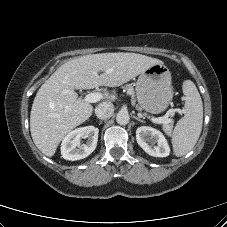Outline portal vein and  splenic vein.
I'll return each instance as SVG.
<instances>
[{
  "label": "portal vein and splenic vein",
  "mask_w": 227,
  "mask_h": 227,
  "mask_svg": "<svg viewBox=\"0 0 227 227\" xmlns=\"http://www.w3.org/2000/svg\"><path fill=\"white\" fill-rule=\"evenodd\" d=\"M69 91H66V93ZM103 98V94L99 93V92H94V93H90L87 94L84 98L85 101L89 102V103H96L98 101H100ZM172 112H183L180 109H173ZM151 121L157 124H164V123H169L172 121V119L168 118L167 116H163V117H158V118H151Z\"/></svg>",
  "instance_id": "1"
}]
</instances>
